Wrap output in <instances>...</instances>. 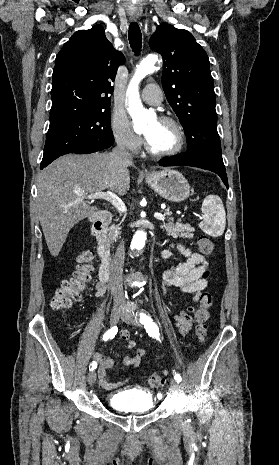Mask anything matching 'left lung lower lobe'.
Segmentation results:
<instances>
[{"label":"left lung lower lobe","mask_w":279,"mask_h":465,"mask_svg":"<svg viewBox=\"0 0 279 465\" xmlns=\"http://www.w3.org/2000/svg\"><path fill=\"white\" fill-rule=\"evenodd\" d=\"M161 166H193L212 171L218 174L225 186L228 188V180L225 168L220 167L209 160L191 154H179L172 157L163 158L160 160Z\"/></svg>","instance_id":"left-lung-lower-lobe-1"}]
</instances>
